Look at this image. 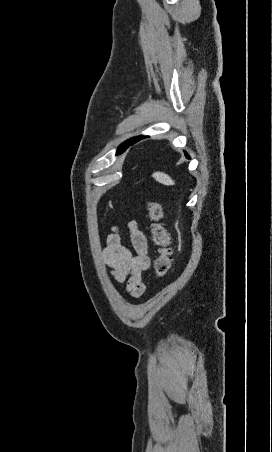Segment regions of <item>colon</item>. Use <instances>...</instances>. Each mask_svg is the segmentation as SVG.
I'll return each instance as SVG.
<instances>
[{
  "label": "colon",
  "instance_id": "colon-1",
  "mask_svg": "<svg viewBox=\"0 0 272 452\" xmlns=\"http://www.w3.org/2000/svg\"><path fill=\"white\" fill-rule=\"evenodd\" d=\"M148 214L152 222L151 232L153 241L157 246V257L154 268L158 278L167 275L171 266L172 249L170 247V235L163 225V208L158 202H150L148 205Z\"/></svg>",
  "mask_w": 272,
  "mask_h": 452
}]
</instances>
